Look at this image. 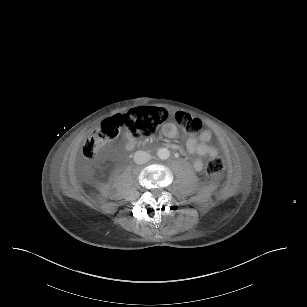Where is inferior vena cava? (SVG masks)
I'll list each match as a JSON object with an SVG mask.
<instances>
[{
    "label": "inferior vena cava",
    "mask_w": 307,
    "mask_h": 307,
    "mask_svg": "<svg viewBox=\"0 0 307 307\" xmlns=\"http://www.w3.org/2000/svg\"><path fill=\"white\" fill-rule=\"evenodd\" d=\"M133 158L136 164H145L152 159V155L146 151H136Z\"/></svg>",
    "instance_id": "obj_1"
}]
</instances>
